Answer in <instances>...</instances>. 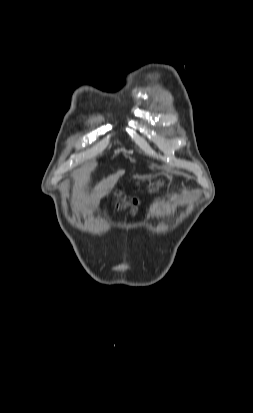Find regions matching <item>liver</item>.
<instances>
[{
  "instance_id": "1",
  "label": "liver",
  "mask_w": 253,
  "mask_h": 413,
  "mask_svg": "<svg viewBox=\"0 0 253 413\" xmlns=\"http://www.w3.org/2000/svg\"><path fill=\"white\" fill-rule=\"evenodd\" d=\"M125 173L124 170H119L117 173L108 176L106 179L100 181L94 188L93 193L87 199L84 198V202L91 206H96L99 198L104 195L106 192L111 190L115 184L117 183L119 177H121Z\"/></svg>"
}]
</instances>
